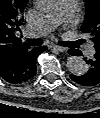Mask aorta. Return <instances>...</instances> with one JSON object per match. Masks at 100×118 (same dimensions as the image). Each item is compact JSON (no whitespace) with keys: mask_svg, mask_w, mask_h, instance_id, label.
I'll list each match as a JSON object with an SVG mask.
<instances>
[{"mask_svg":"<svg viewBox=\"0 0 100 118\" xmlns=\"http://www.w3.org/2000/svg\"><path fill=\"white\" fill-rule=\"evenodd\" d=\"M57 4V0H36L37 9L43 13L53 11ZM66 66L72 74L77 76L84 75L88 71L86 62L78 56L68 57Z\"/></svg>","mask_w":100,"mask_h":118,"instance_id":"1","label":"aorta"}]
</instances>
